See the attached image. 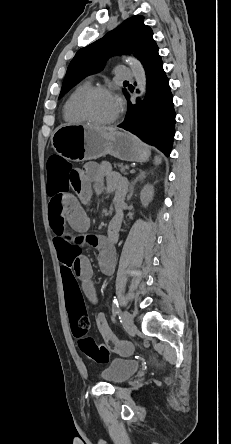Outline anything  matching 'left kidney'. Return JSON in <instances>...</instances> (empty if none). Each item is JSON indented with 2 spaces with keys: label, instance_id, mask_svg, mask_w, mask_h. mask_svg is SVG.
Returning <instances> with one entry per match:
<instances>
[{
  "label": "left kidney",
  "instance_id": "1",
  "mask_svg": "<svg viewBox=\"0 0 231 444\" xmlns=\"http://www.w3.org/2000/svg\"><path fill=\"white\" fill-rule=\"evenodd\" d=\"M153 195H154V187L149 184L146 185L140 193L141 203L144 206H147L152 201Z\"/></svg>",
  "mask_w": 231,
  "mask_h": 444
}]
</instances>
